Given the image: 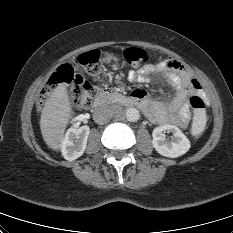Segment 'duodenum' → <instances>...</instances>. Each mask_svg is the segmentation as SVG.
Wrapping results in <instances>:
<instances>
[{
  "label": "duodenum",
  "instance_id": "duodenum-1",
  "mask_svg": "<svg viewBox=\"0 0 233 233\" xmlns=\"http://www.w3.org/2000/svg\"><path fill=\"white\" fill-rule=\"evenodd\" d=\"M108 102L119 103L125 106H132L136 103L135 100L128 98L113 89L104 88L96 97L94 106L99 108Z\"/></svg>",
  "mask_w": 233,
  "mask_h": 233
}]
</instances>
